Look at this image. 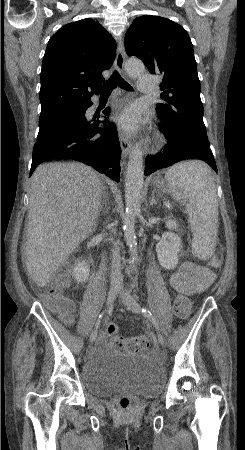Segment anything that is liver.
Wrapping results in <instances>:
<instances>
[{
  "label": "liver",
  "instance_id": "6515ba94",
  "mask_svg": "<svg viewBox=\"0 0 245 450\" xmlns=\"http://www.w3.org/2000/svg\"><path fill=\"white\" fill-rule=\"evenodd\" d=\"M103 185L83 163H48L31 178L26 269L44 287L97 226Z\"/></svg>",
  "mask_w": 245,
  "mask_h": 450
}]
</instances>
